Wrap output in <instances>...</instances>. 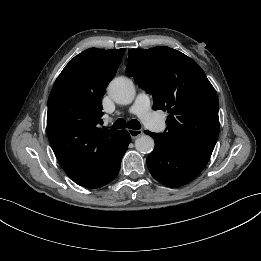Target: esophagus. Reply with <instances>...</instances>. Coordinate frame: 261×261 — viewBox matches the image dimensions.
<instances>
[{
  "mask_svg": "<svg viewBox=\"0 0 261 261\" xmlns=\"http://www.w3.org/2000/svg\"><path fill=\"white\" fill-rule=\"evenodd\" d=\"M128 132L132 139H135L143 134V131L139 129H129Z\"/></svg>",
  "mask_w": 261,
  "mask_h": 261,
  "instance_id": "34e87169",
  "label": "esophagus"
}]
</instances>
